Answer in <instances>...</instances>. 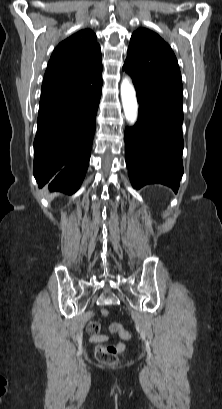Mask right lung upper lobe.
<instances>
[{
	"mask_svg": "<svg viewBox=\"0 0 222 409\" xmlns=\"http://www.w3.org/2000/svg\"><path fill=\"white\" fill-rule=\"evenodd\" d=\"M102 72L101 49L90 29L80 30L53 51L45 72L40 102L83 91L88 79Z\"/></svg>",
	"mask_w": 222,
	"mask_h": 409,
	"instance_id": "right-lung-upper-lobe-1",
	"label": "right lung upper lobe"
}]
</instances>
